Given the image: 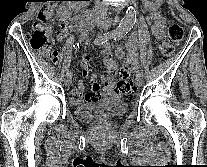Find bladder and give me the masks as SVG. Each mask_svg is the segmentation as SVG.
<instances>
[{
  "label": "bladder",
  "instance_id": "bladder-1",
  "mask_svg": "<svg viewBox=\"0 0 207 167\" xmlns=\"http://www.w3.org/2000/svg\"><path fill=\"white\" fill-rule=\"evenodd\" d=\"M125 112V103L117 96L84 102L78 105L75 110L77 118L87 122H111L121 117Z\"/></svg>",
  "mask_w": 207,
  "mask_h": 167
}]
</instances>
